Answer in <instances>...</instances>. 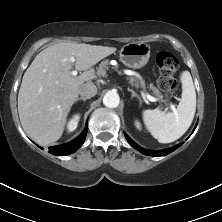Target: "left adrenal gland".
Wrapping results in <instances>:
<instances>
[{"instance_id":"a2214340","label":"left adrenal gland","mask_w":222,"mask_h":222,"mask_svg":"<svg viewBox=\"0 0 222 222\" xmlns=\"http://www.w3.org/2000/svg\"><path fill=\"white\" fill-rule=\"evenodd\" d=\"M129 92H131V98H133V97H136L138 100H139V102H140V104L142 103V100H141V97L134 91V90H132V89H127Z\"/></svg>"}]
</instances>
